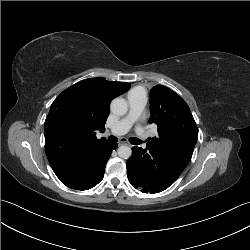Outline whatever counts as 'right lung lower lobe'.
Wrapping results in <instances>:
<instances>
[{
  "mask_svg": "<svg viewBox=\"0 0 250 250\" xmlns=\"http://www.w3.org/2000/svg\"><path fill=\"white\" fill-rule=\"evenodd\" d=\"M118 145L115 143L107 142L102 145L98 150L95 156L93 157L90 167L92 174L89 179L79 187H75L77 190H88L96 186L104 177V170L108 159L111 156V152Z\"/></svg>",
  "mask_w": 250,
  "mask_h": 250,
  "instance_id": "right-lung-lower-lobe-1",
  "label": "right lung lower lobe"
}]
</instances>
